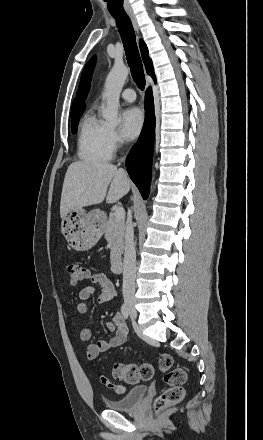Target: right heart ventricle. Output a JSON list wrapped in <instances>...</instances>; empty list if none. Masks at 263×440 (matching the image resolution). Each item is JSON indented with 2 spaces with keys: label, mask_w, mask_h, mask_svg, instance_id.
Returning <instances> with one entry per match:
<instances>
[{
  "label": "right heart ventricle",
  "mask_w": 263,
  "mask_h": 440,
  "mask_svg": "<svg viewBox=\"0 0 263 440\" xmlns=\"http://www.w3.org/2000/svg\"><path fill=\"white\" fill-rule=\"evenodd\" d=\"M109 127L89 110L82 118L78 134V156L85 162H104L112 157Z\"/></svg>",
  "instance_id": "1"
}]
</instances>
